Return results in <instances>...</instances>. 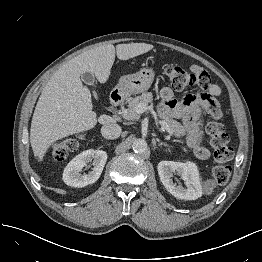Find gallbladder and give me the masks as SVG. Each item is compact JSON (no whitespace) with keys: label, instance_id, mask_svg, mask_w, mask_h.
I'll use <instances>...</instances> for the list:
<instances>
[{"label":"gallbladder","instance_id":"gallbladder-1","mask_svg":"<svg viewBox=\"0 0 262 262\" xmlns=\"http://www.w3.org/2000/svg\"><path fill=\"white\" fill-rule=\"evenodd\" d=\"M81 79L88 85H94L95 77L92 73L85 72L81 74Z\"/></svg>","mask_w":262,"mask_h":262}]
</instances>
